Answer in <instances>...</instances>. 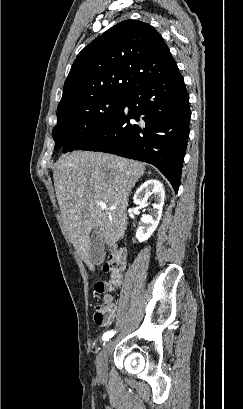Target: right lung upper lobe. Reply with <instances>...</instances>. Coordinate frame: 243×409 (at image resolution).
Returning <instances> with one entry per match:
<instances>
[{"instance_id":"obj_1","label":"right lung upper lobe","mask_w":243,"mask_h":409,"mask_svg":"<svg viewBox=\"0 0 243 409\" xmlns=\"http://www.w3.org/2000/svg\"><path fill=\"white\" fill-rule=\"evenodd\" d=\"M178 69L161 35L148 23L122 21L87 45L74 61L57 110L135 87Z\"/></svg>"}]
</instances>
